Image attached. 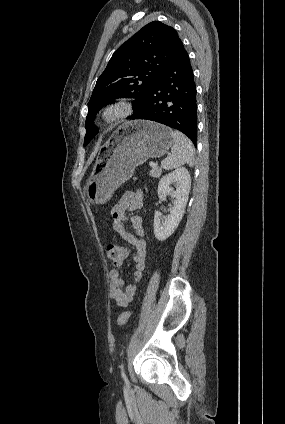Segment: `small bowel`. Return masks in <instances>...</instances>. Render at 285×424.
<instances>
[{"label": "small bowel", "mask_w": 285, "mask_h": 424, "mask_svg": "<svg viewBox=\"0 0 285 424\" xmlns=\"http://www.w3.org/2000/svg\"><path fill=\"white\" fill-rule=\"evenodd\" d=\"M143 206V193L140 190L127 191L123 194L118 204L112 211L114 231L127 243L132 245L135 250L133 262L135 270L133 273V282L125 284L120 270L112 269L110 272V296L119 306H127L136 296L138 283L143 277L145 262L147 256V244L145 241V227L143 218L139 214H133L134 211ZM129 224L133 231L128 228ZM126 251V257L129 250ZM125 257V258H126Z\"/></svg>", "instance_id": "small-bowel-1"}]
</instances>
